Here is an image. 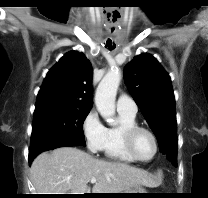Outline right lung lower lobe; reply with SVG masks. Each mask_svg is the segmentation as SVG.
<instances>
[{
  "instance_id": "obj_1",
  "label": "right lung lower lobe",
  "mask_w": 208,
  "mask_h": 198,
  "mask_svg": "<svg viewBox=\"0 0 208 198\" xmlns=\"http://www.w3.org/2000/svg\"><path fill=\"white\" fill-rule=\"evenodd\" d=\"M79 145H80L79 143L65 138H54L41 142L34 146H30L29 163H31L33 159L43 151L52 150L59 147H70V146H79Z\"/></svg>"
}]
</instances>
